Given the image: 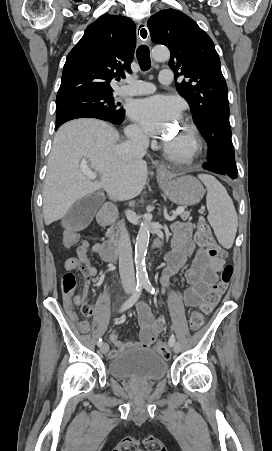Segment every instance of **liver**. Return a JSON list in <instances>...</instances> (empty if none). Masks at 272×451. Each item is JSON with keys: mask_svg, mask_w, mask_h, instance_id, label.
<instances>
[{"mask_svg": "<svg viewBox=\"0 0 272 451\" xmlns=\"http://www.w3.org/2000/svg\"><path fill=\"white\" fill-rule=\"evenodd\" d=\"M118 140L115 128L93 118L72 120L59 128L43 188L46 226L64 218L75 202L97 190H105L114 200H131L141 194L147 180V164L136 156L123 162ZM81 160H89L100 180L91 182L82 174Z\"/></svg>", "mask_w": 272, "mask_h": 451, "instance_id": "liver-1", "label": "liver"}]
</instances>
